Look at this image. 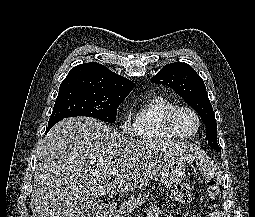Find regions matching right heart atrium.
I'll use <instances>...</instances> for the list:
<instances>
[{
	"instance_id": "1",
	"label": "right heart atrium",
	"mask_w": 255,
	"mask_h": 217,
	"mask_svg": "<svg viewBox=\"0 0 255 217\" xmlns=\"http://www.w3.org/2000/svg\"><path fill=\"white\" fill-rule=\"evenodd\" d=\"M121 131L124 134H131L133 132V125L127 119H123L121 123Z\"/></svg>"
}]
</instances>
